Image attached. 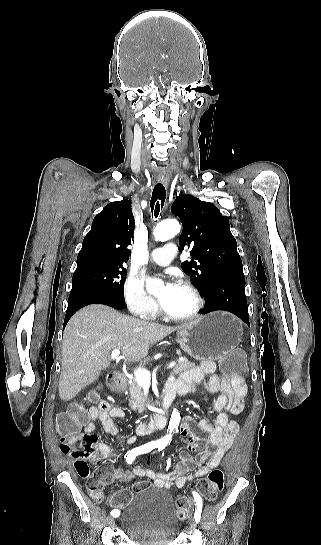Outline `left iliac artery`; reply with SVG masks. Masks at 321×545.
<instances>
[{
  "label": "left iliac artery",
  "mask_w": 321,
  "mask_h": 545,
  "mask_svg": "<svg viewBox=\"0 0 321 545\" xmlns=\"http://www.w3.org/2000/svg\"><path fill=\"white\" fill-rule=\"evenodd\" d=\"M163 447L161 446H158V450H162ZM195 500H196V510H195V514H194V517H195V520L196 522H199L200 521V518H201V512H202V501H201V498L195 494Z\"/></svg>",
  "instance_id": "44dca946"
}]
</instances>
